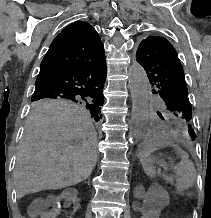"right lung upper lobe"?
Returning a JSON list of instances; mask_svg holds the SVG:
<instances>
[{"instance_id": "right-lung-upper-lobe-1", "label": "right lung upper lobe", "mask_w": 211, "mask_h": 218, "mask_svg": "<svg viewBox=\"0 0 211 218\" xmlns=\"http://www.w3.org/2000/svg\"><path fill=\"white\" fill-rule=\"evenodd\" d=\"M105 57L96 30L86 22H75L62 30L41 62L36 83L61 71L96 62Z\"/></svg>"}]
</instances>
